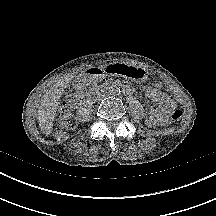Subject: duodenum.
Wrapping results in <instances>:
<instances>
[{
	"instance_id": "1",
	"label": "duodenum",
	"mask_w": 216,
	"mask_h": 216,
	"mask_svg": "<svg viewBox=\"0 0 216 216\" xmlns=\"http://www.w3.org/2000/svg\"><path fill=\"white\" fill-rule=\"evenodd\" d=\"M106 72H108L107 69L92 68L87 71V74L90 76L100 77L106 74ZM124 88L127 91H131V87L129 86H124ZM98 93H100V89L96 90L93 93H85V92L76 93L70 98L69 102L74 107L76 105H80L81 103L85 102L91 95L98 94Z\"/></svg>"
}]
</instances>
